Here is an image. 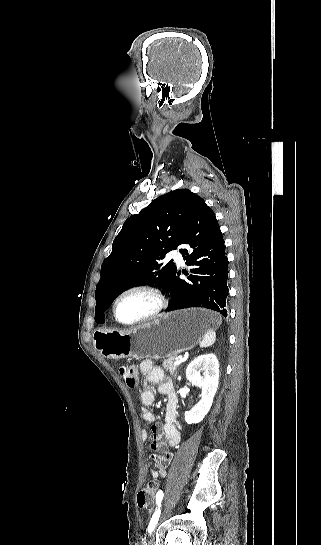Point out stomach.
Returning a JSON list of instances; mask_svg holds the SVG:
<instances>
[{
  "label": "stomach",
  "instance_id": "0dacf381",
  "mask_svg": "<svg viewBox=\"0 0 321 545\" xmlns=\"http://www.w3.org/2000/svg\"><path fill=\"white\" fill-rule=\"evenodd\" d=\"M220 321L218 313L206 309H183L131 331L99 327L92 339L96 351L108 359H165L193 349Z\"/></svg>",
  "mask_w": 321,
  "mask_h": 545
}]
</instances>
